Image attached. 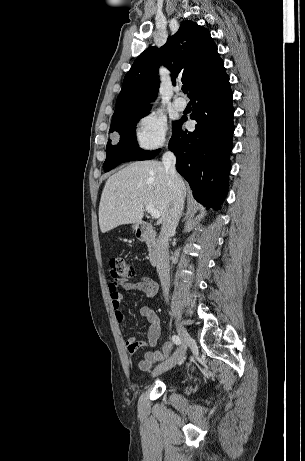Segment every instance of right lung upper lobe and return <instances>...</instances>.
<instances>
[{
    "mask_svg": "<svg viewBox=\"0 0 305 461\" xmlns=\"http://www.w3.org/2000/svg\"><path fill=\"white\" fill-rule=\"evenodd\" d=\"M160 65L171 71L174 85L177 81L188 85L190 98L225 73L209 31L195 22L183 21L163 47H150L137 57L124 78L110 129L126 118L150 110L149 101L157 97Z\"/></svg>",
    "mask_w": 305,
    "mask_h": 461,
    "instance_id": "cb5924a9",
    "label": "right lung upper lobe"
}]
</instances>
